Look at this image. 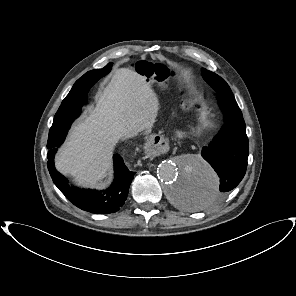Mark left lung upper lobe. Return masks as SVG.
Listing matches in <instances>:
<instances>
[{"label": "left lung upper lobe", "instance_id": "obj_1", "mask_svg": "<svg viewBox=\"0 0 296 296\" xmlns=\"http://www.w3.org/2000/svg\"><path fill=\"white\" fill-rule=\"evenodd\" d=\"M202 76L204 80L218 93L219 99L234 98L228 84L217 74L202 69Z\"/></svg>", "mask_w": 296, "mask_h": 296}]
</instances>
